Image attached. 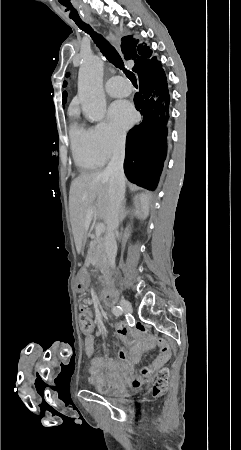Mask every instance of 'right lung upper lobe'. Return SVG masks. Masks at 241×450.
<instances>
[{"instance_id":"1","label":"right lung upper lobe","mask_w":241,"mask_h":450,"mask_svg":"<svg viewBox=\"0 0 241 450\" xmlns=\"http://www.w3.org/2000/svg\"><path fill=\"white\" fill-rule=\"evenodd\" d=\"M121 49L125 60L134 62V67L132 68L134 72L144 64L157 60L156 57H152V50L147 45L139 43L138 40L134 41L132 36L122 38Z\"/></svg>"}]
</instances>
